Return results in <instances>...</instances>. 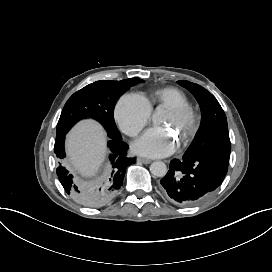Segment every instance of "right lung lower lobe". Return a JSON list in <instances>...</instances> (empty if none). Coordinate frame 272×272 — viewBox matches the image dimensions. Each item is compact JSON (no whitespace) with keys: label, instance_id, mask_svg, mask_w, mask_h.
<instances>
[{"label":"right lung lower lobe","instance_id":"98d812e1","mask_svg":"<svg viewBox=\"0 0 272 272\" xmlns=\"http://www.w3.org/2000/svg\"><path fill=\"white\" fill-rule=\"evenodd\" d=\"M65 135L56 138L54 152L58 158L56 173L65 192L87 207H102L109 203L120 191L128 166L136 162V158L128 157V145L119 138H111L108 142L110 167L107 173L95 183H78L63 164L66 157L64 150Z\"/></svg>","mask_w":272,"mask_h":272}]
</instances>
